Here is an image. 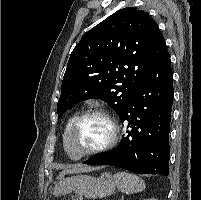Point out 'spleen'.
<instances>
[{
    "label": "spleen",
    "instance_id": "3e777b00",
    "mask_svg": "<svg viewBox=\"0 0 201 200\" xmlns=\"http://www.w3.org/2000/svg\"><path fill=\"white\" fill-rule=\"evenodd\" d=\"M114 181L117 188L123 193L133 194L145 189L144 181L140 177L128 172H117L114 175Z\"/></svg>",
    "mask_w": 201,
    "mask_h": 200
}]
</instances>
